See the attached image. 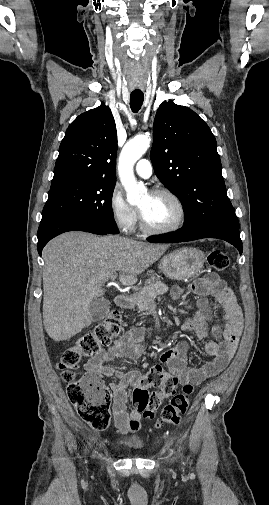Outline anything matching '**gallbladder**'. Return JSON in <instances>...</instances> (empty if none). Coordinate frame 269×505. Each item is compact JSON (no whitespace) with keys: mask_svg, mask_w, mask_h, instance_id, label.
Listing matches in <instances>:
<instances>
[{"mask_svg":"<svg viewBox=\"0 0 269 505\" xmlns=\"http://www.w3.org/2000/svg\"><path fill=\"white\" fill-rule=\"evenodd\" d=\"M110 301L105 298H97L92 301L89 308V318L86 320V326L92 322L104 319L110 310Z\"/></svg>","mask_w":269,"mask_h":505,"instance_id":"gallbladder-1","label":"gallbladder"}]
</instances>
